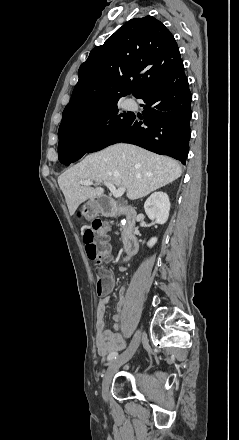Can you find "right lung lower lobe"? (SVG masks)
<instances>
[{
	"instance_id": "obj_1",
	"label": "right lung lower lobe",
	"mask_w": 239,
	"mask_h": 440,
	"mask_svg": "<svg viewBox=\"0 0 239 440\" xmlns=\"http://www.w3.org/2000/svg\"><path fill=\"white\" fill-rule=\"evenodd\" d=\"M137 98L143 99L146 104L143 117L133 113L125 123L99 136L90 145L62 147L58 150L60 162L69 165L85 153L125 142L171 156L185 165L191 136L192 95L182 60Z\"/></svg>"
}]
</instances>
